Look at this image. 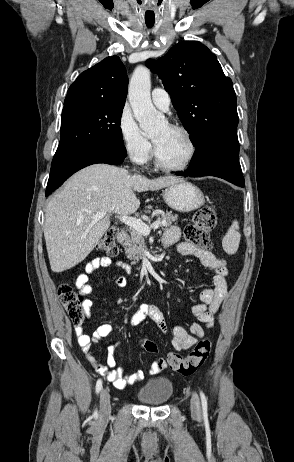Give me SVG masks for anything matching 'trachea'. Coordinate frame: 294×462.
I'll return each instance as SVG.
<instances>
[{"label":"trachea","instance_id":"obj_1","mask_svg":"<svg viewBox=\"0 0 294 462\" xmlns=\"http://www.w3.org/2000/svg\"><path fill=\"white\" fill-rule=\"evenodd\" d=\"M146 25L151 28L154 25V23L153 22H146Z\"/></svg>","mask_w":294,"mask_h":462}]
</instances>
